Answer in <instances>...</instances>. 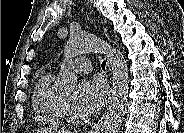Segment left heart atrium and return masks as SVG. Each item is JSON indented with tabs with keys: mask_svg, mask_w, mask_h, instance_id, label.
<instances>
[{
	"mask_svg": "<svg viewBox=\"0 0 184 133\" xmlns=\"http://www.w3.org/2000/svg\"><path fill=\"white\" fill-rule=\"evenodd\" d=\"M107 98V87L101 79H86L75 90L74 104L81 112L91 114L98 111Z\"/></svg>",
	"mask_w": 184,
	"mask_h": 133,
	"instance_id": "39dd6f15",
	"label": "left heart atrium"
}]
</instances>
